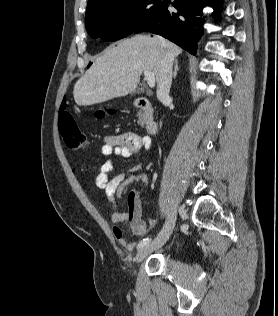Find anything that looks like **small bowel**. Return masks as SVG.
<instances>
[{"instance_id":"obj_1","label":"small bowel","mask_w":278,"mask_h":316,"mask_svg":"<svg viewBox=\"0 0 278 316\" xmlns=\"http://www.w3.org/2000/svg\"><path fill=\"white\" fill-rule=\"evenodd\" d=\"M150 147L151 141L149 137L127 132L120 135L106 136L100 151L105 157L115 155L128 158L138 154L142 149L149 151ZM113 169V161L110 158L106 159L98 170L96 183L99 188L104 190L108 201L114 206L117 205L118 201L117 193L130 183L134 181H139L144 184L149 183L148 176L141 172V164L134 165L126 172L111 176ZM127 205L126 211L117 210L111 214V222L114 224L112 232L117 242L131 251L134 249L135 244L126 240L124 231L117 224L129 222L134 235L144 236L148 232V225H155L156 220L150 218L147 223L142 218V204L137 193L130 194Z\"/></svg>"}]
</instances>
